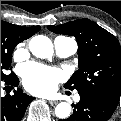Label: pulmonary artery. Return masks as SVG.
Instances as JSON below:
<instances>
[{"instance_id":"e3ab8cb5","label":"pulmonary artery","mask_w":121,"mask_h":121,"mask_svg":"<svg viewBox=\"0 0 121 121\" xmlns=\"http://www.w3.org/2000/svg\"><path fill=\"white\" fill-rule=\"evenodd\" d=\"M54 47H55L56 54L60 58H67L75 54L78 48L75 40L66 38L63 36H59L55 38ZM73 98H74V101L78 102L80 100V95L75 94Z\"/></svg>"}]
</instances>
